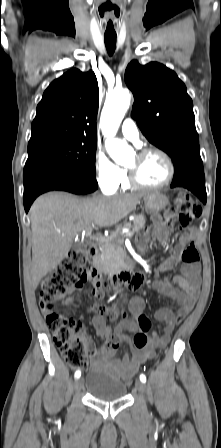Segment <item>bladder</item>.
Segmentation results:
<instances>
[{"label":"bladder","mask_w":221,"mask_h":448,"mask_svg":"<svg viewBox=\"0 0 221 448\" xmlns=\"http://www.w3.org/2000/svg\"><path fill=\"white\" fill-rule=\"evenodd\" d=\"M82 379L85 390L96 400L110 402L126 396L127 384L107 370L93 369Z\"/></svg>","instance_id":"1"}]
</instances>
